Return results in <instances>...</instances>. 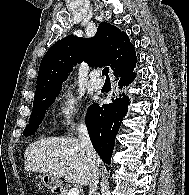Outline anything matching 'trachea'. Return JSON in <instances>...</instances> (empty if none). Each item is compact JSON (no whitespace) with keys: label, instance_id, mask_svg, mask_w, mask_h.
Segmentation results:
<instances>
[{"label":"trachea","instance_id":"1","mask_svg":"<svg viewBox=\"0 0 189 195\" xmlns=\"http://www.w3.org/2000/svg\"><path fill=\"white\" fill-rule=\"evenodd\" d=\"M102 75L106 77V81H110V77H109V68L105 67L102 71Z\"/></svg>","mask_w":189,"mask_h":195}]
</instances>
